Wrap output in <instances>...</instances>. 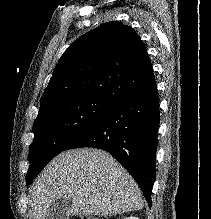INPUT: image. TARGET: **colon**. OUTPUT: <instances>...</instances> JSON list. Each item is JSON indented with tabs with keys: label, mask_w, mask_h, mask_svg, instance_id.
<instances>
[{
	"label": "colon",
	"mask_w": 211,
	"mask_h": 219,
	"mask_svg": "<svg viewBox=\"0 0 211 219\" xmlns=\"http://www.w3.org/2000/svg\"><path fill=\"white\" fill-rule=\"evenodd\" d=\"M77 219H106V218H104V217L83 216V217H78Z\"/></svg>",
	"instance_id": "colon-1"
}]
</instances>
